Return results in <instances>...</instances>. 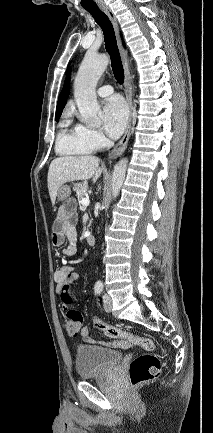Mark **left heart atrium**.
I'll return each instance as SVG.
<instances>
[{"instance_id":"left-heart-atrium-1","label":"left heart atrium","mask_w":213,"mask_h":433,"mask_svg":"<svg viewBox=\"0 0 213 433\" xmlns=\"http://www.w3.org/2000/svg\"><path fill=\"white\" fill-rule=\"evenodd\" d=\"M101 117L105 132L111 138H118L126 127L128 117L124 101L118 96L109 98L103 106Z\"/></svg>"}]
</instances>
